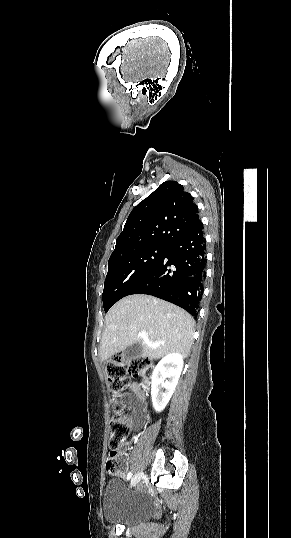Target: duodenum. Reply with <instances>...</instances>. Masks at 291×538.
<instances>
[{"label": "duodenum", "mask_w": 291, "mask_h": 538, "mask_svg": "<svg viewBox=\"0 0 291 538\" xmlns=\"http://www.w3.org/2000/svg\"><path fill=\"white\" fill-rule=\"evenodd\" d=\"M145 384H148V381H145Z\"/></svg>", "instance_id": "obj_1"}]
</instances>
